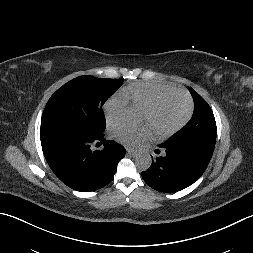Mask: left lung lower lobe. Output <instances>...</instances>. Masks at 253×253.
<instances>
[{
	"mask_svg": "<svg viewBox=\"0 0 253 253\" xmlns=\"http://www.w3.org/2000/svg\"><path fill=\"white\" fill-rule=\"evenodd\" d=\"M159 147L164 155L152 158V165L142 172V178L160 192L173 193L190 186L203 174L211 159L186 146L161 144Z\"/></svg>",
	"mask_w": 253,
	"mask_h": 253,
	"instance_id": "0a47b994",
	"label": "left lung lower lobe"
}]
</instances>
